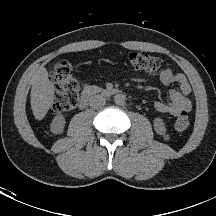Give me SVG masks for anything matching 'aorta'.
<instances>
[{
    "label": "aorta",
    "instance_id": "762f6f07",
    "mask_svg": "<svg viewBox=\"0 0 216 216\" xmlns=\"http://www.w3.org/2000/svg\"><path fill=\"white\" fill-rule=\"evenodd\" d=\"M126 101V96L124 94H116L114 96V102L117 105H123Z\"/></svg>",
    "mask_w": 216,
    "mask_h": 216
}]
</instances>
